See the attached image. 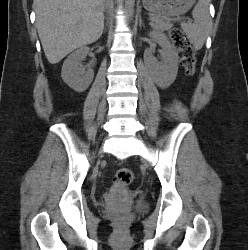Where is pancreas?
<instances>
[{"instance_id":"cf45deb5","label":"pancreas","mask_w":248,"mask_h":250,"mask_svg":"<svg viewBox=\"0 0 248 250\" xmlns=\"http://www.w3.org/2000/svg\"><path fill=\"white\" fill-rule=\"evenodd\" d=\"M151 26L158 30H169L173 26V24L169 20L156 19L151 23Z\"/></svg>"}]
</instances>
